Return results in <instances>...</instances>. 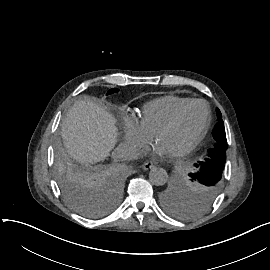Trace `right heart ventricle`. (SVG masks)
Wrapping results in <instances>:
<instances>
[{
    "instance_id": "obj_1",
    "label": "right heart ventricle",
    "mask_w": 270,
    "mask_h": 270,
    "mask_svg": "<svg viewBox=\"0 0 270 270\" xmlns=\"http://www.w3.org/2000/svg\"><path fill=\"white\" fill-rule=\"evenodd\" d=\"M191 101L189 98L173 95L158 97L142 107L137 125L142 131L152 135L179 109Z\"/></svg>"
}]
</instances>
